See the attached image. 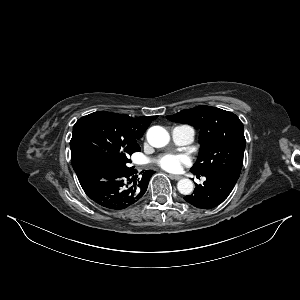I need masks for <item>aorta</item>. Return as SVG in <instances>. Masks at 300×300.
Segmentation results:
<instances>
[{"label":"aorta","instance_id":"obj_1","mask_svg":"<svg viewBox=\"0 0 300 300\" xmlns=\"http://www.w3.org/2000/svg\"><path fill=\"white\" fill-rule=\"evenodd\" d=\"M147 140L155 148H161L169 143V133L161 126H152L147 131ZM178 191L183 195H189L193 192L194 184L190 179L184 178L177 183Z\"/></svg>","mask_w":300,"mask_h":300}]
</instances>
